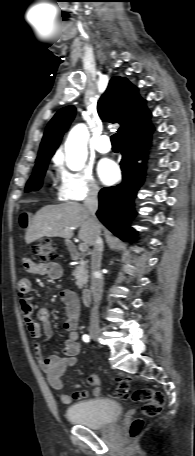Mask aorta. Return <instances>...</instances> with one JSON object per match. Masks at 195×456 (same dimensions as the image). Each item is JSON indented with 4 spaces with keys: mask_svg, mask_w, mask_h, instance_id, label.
Segmentation results:
<instances>
[{
    "mask_svg": "<svg viewBox=\"0 0 195 456\" xmlns=\"http://www.w3.org/2000/svg\"><path fill=\"white\" fill-rule=\"evenodd\" d=\"M89 131L84 124L74 126L65 143L66 165L72 171H80L87 160Z\"/></svg>",
    "mask_w": 195,
    "mask_h": 456,
    "instance_id": "1",
    "label": "aorta"
}]
</instances>
